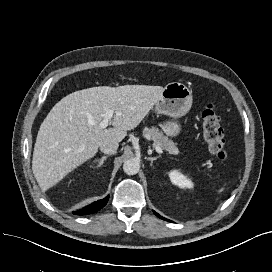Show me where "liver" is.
<instances>
[{
	"label": "liver",
	"mask_w": 272,
	"mask_h": 272,
	"mask_svg": "<svg viewBox=\"0 0 272 272\" xmlns=\"http://www.w3.org/2000/svg\"><path fill=\"white\" fill-rule=\"evenodd\" d=\"M161 86H99L62 98L42 122L33 152L32 170L43 190L94 157L106 143H119L136 128L162 95ZM112 109L113 128L101 129Z\"/></svg>",
	"instance_id": "liver-1"
}]
</instances>
